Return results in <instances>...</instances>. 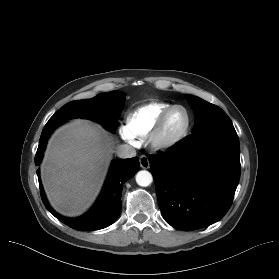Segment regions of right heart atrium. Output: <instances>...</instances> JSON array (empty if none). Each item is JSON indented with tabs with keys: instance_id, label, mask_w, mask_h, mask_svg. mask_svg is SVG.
<instances>
[{
	"instance_id": "1",
	"label": "right heart atrium",
	"mask_w": 279,
	"mask_h": 279,
	"mask_svg": "<svg viewBox=\"0 0 279 279\" xmlns=\"http://www.w3.org/2000/svg\"><path fill=\"white\" fill-rule=\"evenodd\" d=\"M120 134L123 137V139H125L128 142H131L133 140V137L129 134L125 127L120 128Z\"/></svg>"
}]
</instances>
